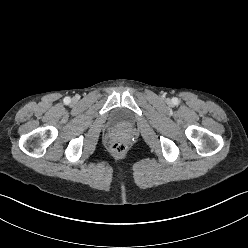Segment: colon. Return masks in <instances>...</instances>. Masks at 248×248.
<instances>
[{"label":"colon","mask_w":248,"mask_h":248,"mask_svg":"<svg viewBox=\"0 0 248 248\" xmlns=\"http://www.w3.org/2000/svg\"><path fill=\"white\" fill-rule=\"evenodd\" d=\"M111 152L115 156L123 155L127 150V145L123 140H116L111 144Z\"/></svg>","instance_id":"colon-1"}]
</instances>
